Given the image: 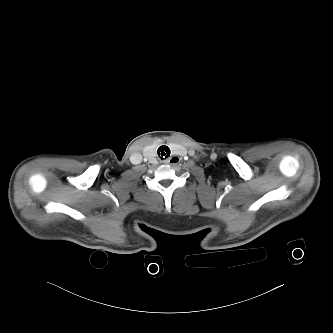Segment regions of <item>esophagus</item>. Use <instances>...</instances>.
<instances>
[{"instance_id":"1","label":"esophagus","mask_w":333,"mask_h":333,"mask_svg":"<svg viewBox=\"0 0 333 333\" xmlns=\"http://www.w3.org/2000/svg\"><path fill=\"white\" fill-rule=\"evenodd\" d=\"M180 161H181V158H179L178 156H175V155L168 158L167 160H165V162L168 164H178Z\"/></svg>"}]
</instances>
